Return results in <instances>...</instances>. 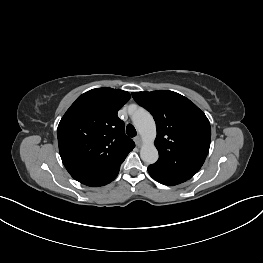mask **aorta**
I'll return each instance as SVG.
<instances>
[{
	"label": "aorta",
	"mask_w": 263,
	"mask_h": 263,
	"mask_svg": "<svg viewBox=\"0 0 263 263\" xmlns=\"http://www.w3.org/2000/svg\"><path fill=\"white\" fill-rule=\"evenodd\" d=\"M133 123L143 139L140 149V157L147 164H153L158 160V150L154 145L156 137V125L152 115L140 109L132 116Z\"/></svg>",
	"instance_id": "aorta-1"
}]
</instances>
